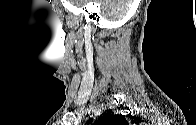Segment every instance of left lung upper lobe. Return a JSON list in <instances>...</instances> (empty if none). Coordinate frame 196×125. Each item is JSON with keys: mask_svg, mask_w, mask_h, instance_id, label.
Wrapping results in <instances>:
<instances>
[{"mask_svg": "<svg viewBox=\"0 0 196 125\" xmlns=\"http://www.w3.org/2000/svg\"><path fill=\"white\" fill-rule=\"evenodd\" d=\"M95 125L98 123L95 122ZM101 125H127L126 119L122 115H105L100 120Z\"/></svg>", "mask_w": 196, "mask_h": 125, "instance_id": "1", "label": "left lung upper lobe"}]
</instances>
